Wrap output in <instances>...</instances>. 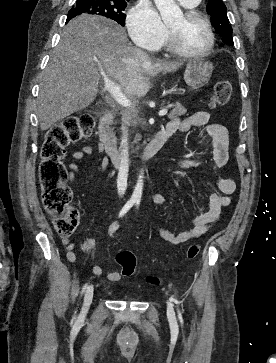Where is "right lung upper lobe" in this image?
<instances>
[{
	"label": "right lung upper lobe",
	"instance_id": "obj_1",
	"mask_svg": "<svg viewBox=\"0 0 276 363\" xmlns=\"http://www.w3.org/2000/svg\"><path fill=\"white\" fill-rule=\"evenodd\" d=\"M112 1H124V2H126V0H112ZM128 1V0H127Z\"/></svg>",
	"mask_w": 276,
	"mask_h": 363
}]
</instances>
